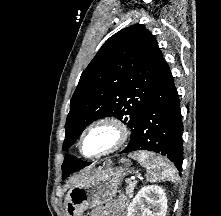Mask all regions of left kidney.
Returning a JSON list of instances; mask_svg holds the SVG:
<instances>
[{"instance_id": "left-kidney-1", "label": "left kidney", "mask_w": 221, "mask_h": 216, "mask_svg": "<svg viewBox=\"0 0 221 216\" xmlns=\"http://www.w3.org/2000/svg\"><path fill=\"white\" fill-rule=\"evenodd\" d=\"M167 197L160 186L143 187L128 207L127 216H166Z\"/></svg>"}]
</instances>
